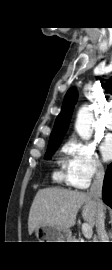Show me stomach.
Masks as SVG:
<instances>
[{"instance_id":"0dacf381","label":"stomach","mask_w":112,"mask_h":270,"mask_svg":"<svg viewBox=\"0 0 112 270\" xmlns=\"http://www.w3.org/2000/svg\"><path fill=\"white\" fill-rule=\"evenodd\" d=\"M39 242H71V231L55 226H39L34 230Z\"/></svg>"}]
</instances>
